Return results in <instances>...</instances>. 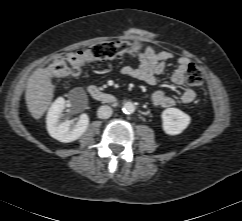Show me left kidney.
I'll return each mask as SVG.
<instances>
[{
  "label": "left kidney",
  "mask_w": 242,
  "mask_h": 221,
  "mask_svg": "<svg viewBox=\"0 0 242 221\" xmlns=\"http://www.w3.org/2000/svg\"><path fill=\"white\" fill-rule=\"evenodd\" d=\"M162 127L168 135L182 133L190 124V116L177 108H168L162 112Z\"/></svg>",
  "instance_id": "5707ae66"
}]
</instances>
